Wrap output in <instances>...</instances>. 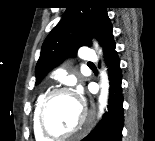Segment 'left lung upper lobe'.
<instances>
[{"instance_id":"1","label":"left lung upper lobe","mask_w":155,"mask_h":141,"mask_svg":"<svg viewBox=\"0 0 155 141\" xmlns=\"http://www.w3.org/2000/svg\"><path fill=\"white\" fill-rule=\"evenodd\" d=\"M102 0H74L65 11L64 18L45 39L35 68L36 84L65 57L74 56L78 48L90 43L96 36L104 47L113 35V27Z\"/></svg>"}]
</instances>
